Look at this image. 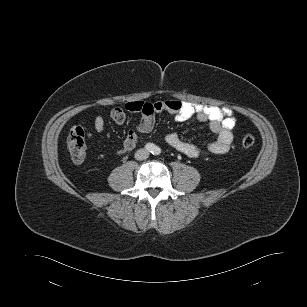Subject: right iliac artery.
I'll return each instance as SVG.
<instances>
[{
    "label": "right iliac artery",
    "mask_w": 307,
    "mask_h": 307,
    "mask_svg": "<svg viewBox=\"0 0 307 307\" xmlns=\"http://www.w3.org/2000/svg\"><path fill=\"white\" fill-rule=\"evenodd\" d=\"M145 149L152 152L155 149V145L153 143H147Z\"/></svg>",
    "instance_id": "1"
}]
</instances>
